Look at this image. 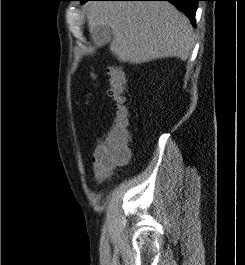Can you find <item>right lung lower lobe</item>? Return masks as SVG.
<instances>
[{"label": "right lung lower lobe", "mask_w": 245, "mask_h": 265, "mask_svg": "<svg viewBox=\"0 0 245 265\" xmlns=\"http://www.w3.org/2000/svg\"><path fill=\"white\" fill-rule=\"evenodd\" d=\"M123 1H169L174 4L179 10L183 11L191 23L195 25V13L197 9V3L200 0H123Z\"/></svg>", "instance_id": "obj_1"}]
</instances>
